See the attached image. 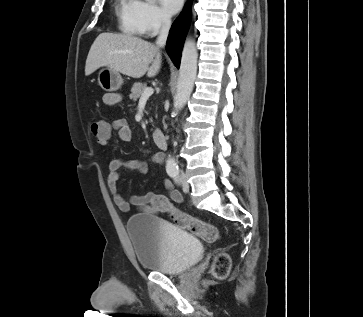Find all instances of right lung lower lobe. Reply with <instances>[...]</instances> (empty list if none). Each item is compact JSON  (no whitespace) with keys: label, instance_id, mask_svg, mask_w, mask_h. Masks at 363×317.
<instances>
[{"label":"right lung lower lobe","instance_id":"right-lung-lower-lobe-1","mask_svg":"<svg viewBox=\"0 0 363 317\" xmlns=\"http://www.w3.org/2000/svg\"><path fill=\"white\" fill-rule=\"evenodd\" d=\"M190 24V8L174 21L167 40V52L174 65L179 68L182 46Z\"/></svg>","mask_w":363,"mask_h":317}]
</instances>
